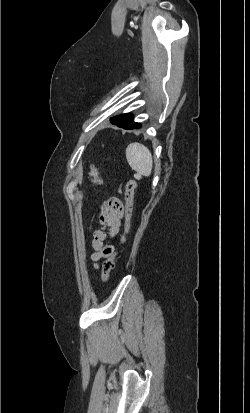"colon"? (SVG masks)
I'll return each mask as SVG.
<instances>
[{
  "instance_id": "colon-1",
  "label": "colon",
  "mask_w": 250,
  "mask_h": 413,
  "mask_svg": "<svg viewBox=\"0 0 250 413\" xmlns=\"http://www.w3.org/2000/svg\"><path fill=\"white\" fill-rule=\"evenodd\" d=\"M90 177L93 185L99 186L102 183V179L99 175L97 167L94 163L90 165ZM137 181L130 180L126 185L125 191V224H124V232L120 237V243H124L126 240V236L129 232L130 225H131V217L133 211V201H134V193L137 188ZM118 252L114 250L111 255H109L102 265V281L106 283L109 280L110 273L114 268L115 258Z\"/></svg>"
}]
</instances>
